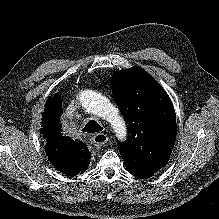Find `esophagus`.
Returning a JSON list of instances; mask_svg holds the SVG:
<instances>
[{"label": "esophagus", "mask_w": 219, "mask_h": 219, "mask_svg": "<svg viewBox=\"0 0 219 219\" xmlns=\"http://www.w3.org/2000/svg\"><path fill=\"white\" fill-rule=\"evenodd\" d=\"M108 141V136L104 133H97L92 138V144L96 148H101Z\"/></svg>", "instance_id": "esophagus-1"}]
</instances>
